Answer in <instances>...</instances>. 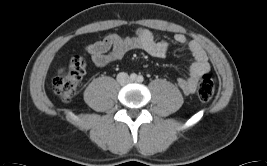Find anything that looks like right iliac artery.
I'll use <instances>...</instances> for the list:
<instances>
[{
  "mask_svg": "<svg viewBox=\"0 0 267 166\" xmlns=\"http://www.w3.org/2000/svg\"><path fill=\"white\" fill-rule=\"evenodd\" d=\"M136 78H137V75H136L135 73H132V74L130 75V79H131L132 81L136 80Z\"/></svg>",
  "mask_w": 267,
  "mask_h": 166,
  "instance_id": "82829eb1",
  "label": "right iliac artery"
}]
</instances>
